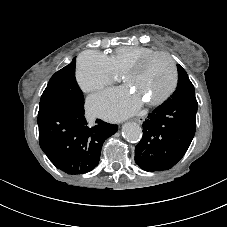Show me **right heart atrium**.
Returning <instances> with one entry per match:
<instances>
[{
	"label": "right heart atrium",
	"instance_id": "right-heart-atrium-1",
	"mask_svg": "<svg viewBox=\"0 0 227 227\" xmlns=\"http://www.w3.org/2000/svg\"><path fill=\"white\" fill-rule=\"evenodd\" d=\"M75 75L79 87L86 93L103 89L116 77L108 56L96 50L80 54Z\"/></svg>",
	"mask_w": 227,
	"mask_h": 227
}]
</instances>
